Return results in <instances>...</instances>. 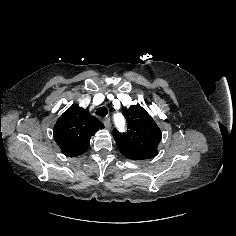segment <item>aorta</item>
Masks as SVG:
<instances>
[{
  "label": "aorta",
  "mask_w": 236,
  "mask_h": 236,
  "mask_svg": "<svg viewBox=\"0 0 236 236\" xmlns=\"http://www.w3.org/2000/svg\"><path fill=\"white\" fill-rule=\"evenodd\" d=\"M114 121H115V124H116V127L119 129V130H123L125 128V118L122 114H116L114 116Z\"/></svg>",
  "instance_id": "1"
}]
</instances>
